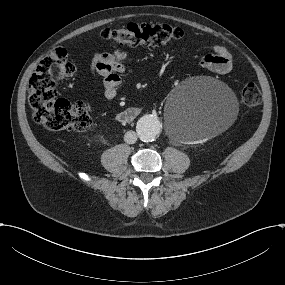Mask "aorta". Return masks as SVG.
I'll use <instances>...</instances> for the list:
<instances>
[{
	"label": "aorta",
	"mask_w": 285,
	"mask_h": 285,
	"mask_svg": "<svg viewBox=\"0 0 285 285\" xmlns=\"http://www.w3.org/2000/svg\"><path fill=\"white\" fill-rule=\"evenodd\" d=\"M136 131L141 141L151 142L159 135L161 131V123L157 117L146 115L138 120Z\"/></svg>",
	"instance_id": "aorta-1"
}]
</instances>
